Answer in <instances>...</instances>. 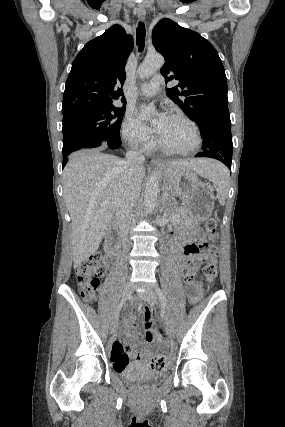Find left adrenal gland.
<instances>
[{
  "label": "left adrenal gland",
  "instance_id": "a2214340",
  "mask_svg": "<svg viewBox=\"0 0 285 427\" xmlns=\"http://www.w3.org/2000/svg\"><path fill=\"white\" fill-rule=\"evenodd\" d=\"M171 197L168 195L167 192H164L163 198H162V207L161 210L166 211L167 210V200H170Z\"/></svg>",
  "mask_w": 285,
  "mask_h": 427
}]
</instances>
